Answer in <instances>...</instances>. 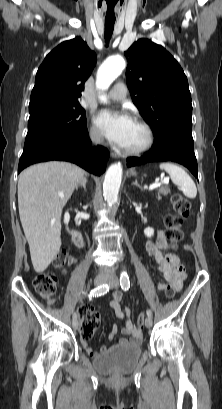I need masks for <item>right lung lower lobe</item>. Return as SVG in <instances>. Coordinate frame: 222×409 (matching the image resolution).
<instances>
[{"label":"right lung lower lobe","instance_id":"right-lung-lower-lobe-1","mask_svg":"<svg viewBox=\"0 0 222 409\" xmlns=\"http://www.w3.org/2000/svg\"><path fill=\"white\" fill-rule=\"evenodd\" d=\"M109 152L102 146L93 147L88 132L73 147L40 144L24 150L18 166V173L27 166L49 160H63L76 163L87 171L101 175L106 170Z\"/></svg>","mask_w":222,"mask_h":409}]
</instances>
